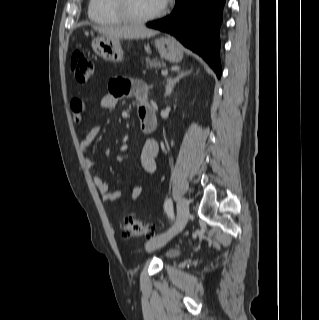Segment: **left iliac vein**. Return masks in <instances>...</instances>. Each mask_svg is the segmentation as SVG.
Returning <instances> with one entry per match:
<instances>
[{
    "instance_id": "left-iliac-vein-1",
    "label": "left iliac vein",
    "mask_w": 319,
    "mask_h": 320,
    "mask_svg": "<svg viewBox=\"0 0 319 320\" xmlns=\"http://www.w3.org/2000/svg\"><path fill=\"white\" fill-rule=\"evenodd\" d=\"M189 219V205L187 200L182 197L177 204V219L172 228L166 233L159 235L146 243L148 251H154L166 245L173 237L180 233L186 226Z\"/></svg>"
}]
</instances>
